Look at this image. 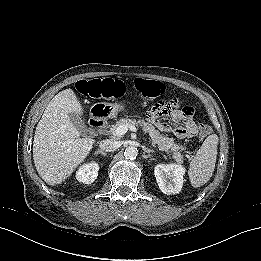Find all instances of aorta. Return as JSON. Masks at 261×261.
Returning a JSON list of instances; mask_svg holds the SVG:
<instances>
[{
    "label": "aorta",
    "instance_id": "obj_1",
    "mask_svg": "<svg viewBox=\"0 0 261 261\" xmlns=\"http://www.w3.org/2000/svg\"><path fill=\"white\" fill-rule=\"evenodd\" d=\"M124 156L126 159L134 160L137 156V150L134 147H128L124 151Z\"/></svg>",
    "mask_w": 261,
    "mask_h": 261
}]
</instances>
